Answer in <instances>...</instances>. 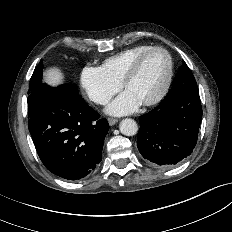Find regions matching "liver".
I'll use <instances>...</instances> for the list:
<instances>
[{
	"label": "liver",
	"instance_id": "6515ba94",
	"mask_svg": "<svg viewBox=\"0 0 232 232\" xmlns=\"http://www.w3.org/2000/svg\"><path fill=\"white\" fill-rule=\"evenodd\" d=\"M44 80L51 86H57L64 81V73L58 67H51L46 71Z\"/></svg>",
	"mask_w": 232,
	"mask_h": 232
}]
</instances>
